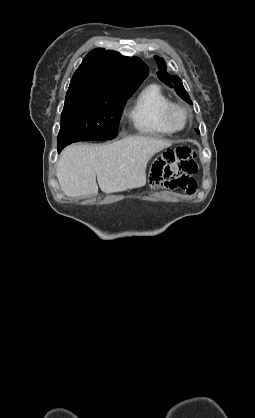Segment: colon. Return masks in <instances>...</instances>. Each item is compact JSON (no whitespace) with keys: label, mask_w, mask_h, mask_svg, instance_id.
Wrapping results in <instances>:
<instances>
[{"label":"colon","mask_w":255,"mask_h":418,"mask_svg":"<svg viewBox=\"0 0 255 418\" xmlns=\"http://www.w3.org/2000/svg\"><path fill=\"white\" fill-rule=\"evenodd\" d=\"M196 153L189 147L169 149L155 161L151 174L152 188L181 189L188 194L196 191L197 183L193 174L197 170Z\"/></svg>","instance_id":"obj_1"}]
</instances>
